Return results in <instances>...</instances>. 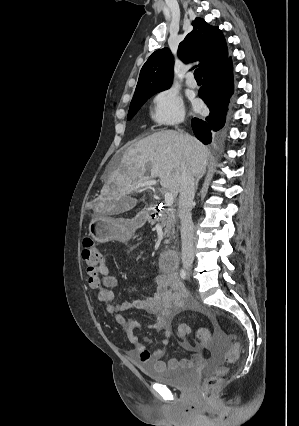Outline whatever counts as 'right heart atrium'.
I'll use <instances>...</instances> for the list:
<instances>
[{
	"label": "right heart atrium",
	"instance_id": "obj_1",
	"mask_svg": "<svg viewBox=\"0 0 299 426\" xmlns=\"http://www.w3.org/2000/svg\"><path fill=\"white\" fill-rule=\"evenodd\" d=\"M184 116V105L175 89L166 88L153 96L151 118L157 125H177L183 121Z\"/></svg>",
	"mask_w": 299,
	"mask_h": 426
}]
</instances>
